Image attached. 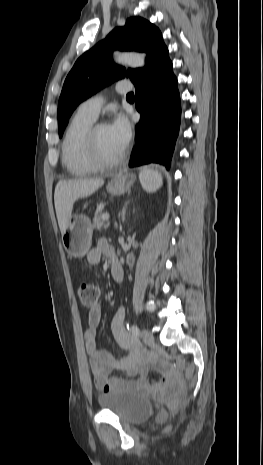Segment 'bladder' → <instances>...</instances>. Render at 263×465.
I'll return each instance as SVG.
<instances>
[{"label": "bladder", "mask_w": 263, "mask_h": 465, "mask_svg": "<svg viewBox=\"0 0 263 465\" xmlns=\"http://www.w3.org/2000/svg\"><path fill=\"white\" fill-rule=\"evenodd\" d=\"M101 408L127 423H140L153 413L152 402L144 395L127 389H114L98 396Z\"/></svg>", "instance_id": "31cf9c89"}]
</instances>
